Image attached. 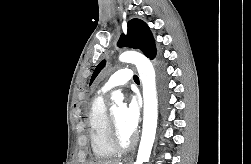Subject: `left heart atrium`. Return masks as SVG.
<instances>
[{
    "instance_id": "left-heart-atrium-1",
    "label": "left heart atrium",
    "mask_w": 251,
    "mask_h": 164,
    "mask_svg": "<svg viewBox=\"0 0 251 164\" xmlns=\"http://www.w3.org/2000/svg\"><path fill=\"white\" fill-rule=\"evenodd\" d=\"M140 120V102L137 97L132 96L125 109L124 127L129 134H133Z\"/></svg>"
}]
</instances>
